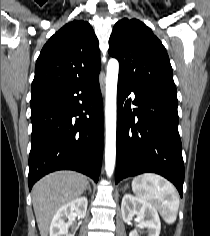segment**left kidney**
I'll use <instances>...</instances> for the list:
<instances>
[{
  "instance_id": "obj_1",
  "label": "left kidney",
  "mask_w": 210,
  "mask_h": 236,
  "mask_svg": "<svg viewBox=\"0 0 210 236\" xmlns=\"http://www.w3.org/2000/svg\"><path fill=\"white\" fill-rule=\"evenodd\" d=\"M122 218L125 222L132 220L137 215L140 228L148 229V236H159L161 223L156 209L148 202L131 194H125L121 203ZM129 236H139L136 230L130 232Z\"/></svg>"
}]
</instances>
